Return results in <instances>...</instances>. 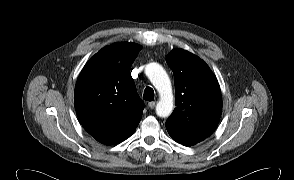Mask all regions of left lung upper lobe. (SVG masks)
Here are the masks:
<instances>
[{
	"label": "left lung upper lobe",
	"mask_w": 294,
	"mask_h": 180,
	"mask_svg": "<svg viewBox=\"0 0 294 180\" xmlns=\"http://www.w3.org/2000/svg\"><path fill=\"white\" fill-rule=\"evenodd\" d=\"M166 61L174 74L176 108L165 126L187 134L211 135L222 114L215 75L203 60L183 49L172 50Z\"/></svg>",
	"instance_id": "1"
}]
</instances>
